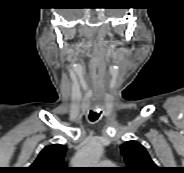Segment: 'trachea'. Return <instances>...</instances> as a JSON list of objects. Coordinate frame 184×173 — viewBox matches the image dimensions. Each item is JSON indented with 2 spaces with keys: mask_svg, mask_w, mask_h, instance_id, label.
<instances>
[{
  "mask_svg": "<svg viewBox=\"0 0 184 173\" xmlns=\"http://www.w3.org/2000/svg\"><path fill=\"white\" fill-rule=\"evenodd\" d=\"M97 119H98V116L90 114V116H89V120H90V121L94 122V121H96Z\"/></svg>",
  "mask_w": 184,
  "mask_h": 173,
  "instance_id": "trachea-1",
  "label": "trachea"
}]
</instances>
